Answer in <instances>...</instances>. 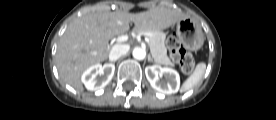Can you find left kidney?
<instances>
[{"instance_id": "left-kidney-1", "label": "left kidney", "mask_w": 276, "mask_h": 120, "mask_svg": "<svg viewBox=\"0 0 276 120\" xmlns=\"http://www.w3.org/2000/svg\"><path fill=\"white\" fill-rule=\"evenodd\" d=\"M145 75L152 88L163 94L176 93L179 89L180 77L176 70L160 65L147 66ZM158 75H164L165 82L159 81Z\"/></svg>"}]
</instances>
